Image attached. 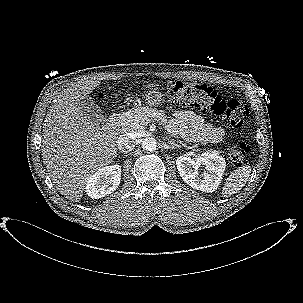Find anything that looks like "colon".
I'll return each instance as SVG.
<instances>
[{"label":"colon","instance_id":"1","mask_svg":"<svg viewBox=\"0 0 303 303\" xmlns=\"http://www.w3.org/2000/svg\"><path fill=\"white\" fill-rule=\"evenodd\" d=\"M167 90L174 104L192 106L233 128H240L248 115V107L244 102L237 99L226 100L203 83L173 80L167 84ZM249 152L247 141L238 138L230 149V156L234 162L241 163Z\"/></svg>","mask_w":303,"mask_h":303}]
</instances>
